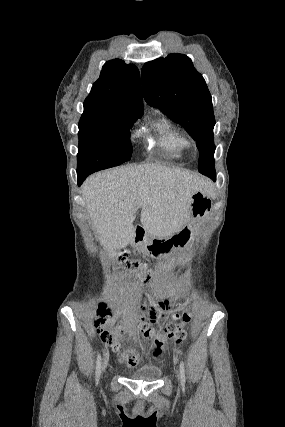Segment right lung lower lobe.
<instances>
[{"instance_id":"obj_1","label":"right lung lower lobe","mask_w":285,"mask_h":427,"mask_svg":"<svg viewBox=\"0 0 285 427\" xmlns=\"http://www.w3.org/2000/svg\"><path fill=\"white\" fill-rule=\"evenodd\" d=\"M92 172H77V177H78V185H80L85 178L90 175Z\"/></svg>"}]
</instances>
